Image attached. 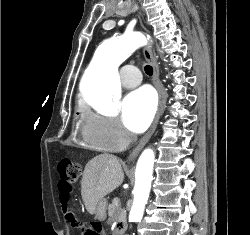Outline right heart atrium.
I'll list each match as a JSON object with an SVG mask.
<instances>
[{"instance_id":"obj_1","label":"right heart atrium","mask_w":250,"mask_h":235,"mask_svg":"<svg viewBox=\"0 0 250 235\" xmlns=\"http://www.w3.org/2000/svg\"><path fill=\"white\" fill-rule=\"evenodd\" d=\"M83 134L95 147L106 151H120L132 141V135L116 117L94 112L85 115Z\"/></svg>"}]
</instances>
